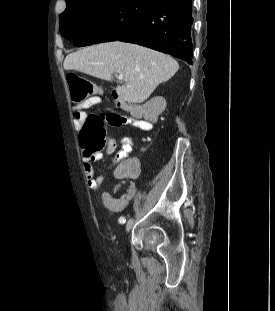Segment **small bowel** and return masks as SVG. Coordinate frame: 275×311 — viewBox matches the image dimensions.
Masks as SVG:
<instances>
[{
	"mask_svg": "<svg viewBox=\"0 0 275 311\" xmlns=\"http://www.w3.org/2000/svg\"><path fill=\"white\" fill-rule=\"evenodd\" d=\"M96 104H80L78 105L74 110V119H75V125L78 129H81L86 117L87 113L86 110L95 106ZM127 110H134V108H130L128 106H124ZM121 125H130L134 128L143 130V131H149L153 129L154 127V121L153 120H146L142 119L139 115L136 113H133L131 117H125L123 123ZM120 143V150L116 153L114 160L111 164V168H115L117 165H119V169L113 170V175L116 176L117 180H126L127 178L129 180H138L139 174L138 171L141 170V165L139 164V161L135 158L128 157L129 152L132 150L133 141L131 137L123 136L119 139ZM116 148V141L112 138L109 139V147L104 152H97L92 153L90 149L87 147H83L81 150V159L83 161V170L84 174L87 180V184L90 189L96 190L100 188V186L103 183L104 177L102 175H97L94 170L93 163L98 161L104 154H111ZM128 157V158H127ZM128 159V160H126ZM135 186H130L128 193L126 196L122 199H113L111 197H107L112 190L108 188L104 195L106 196L104 198L105 204H103L100 207L101 213H108L110 215L114 214V211L121 210L128 199H130L135 194ZM113 210H111V205Z\"/></svg>",
	"mask_w": 275,
	"mask_h": 311,
	"instance_id": "c3829d8e",
	"label": "small bowel"
}]
</instances>
